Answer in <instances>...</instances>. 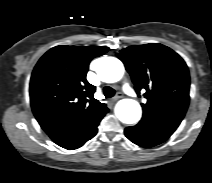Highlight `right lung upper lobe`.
Returning <instances> with one entry per match:
<instances>
[{
	"mask_svg": "<svg viewBox=\"0 0 212 183\" xmlns=\"http://www.w3.org/2000/svg\"><path fill=\"white\" fill-rule=\"evenodd\" d=\"M108 47L56 46L36 64L30 81L33 113L43 130L60 144L81 137L108 112L86 80L90 61Z\"/></svg>",
	"mask_w": 212,
	"mask_h": 183,
	"instance_id": "right-lung-upper-lobe-1",
	"label": "right lung upper lobe"
}]
</instances>
